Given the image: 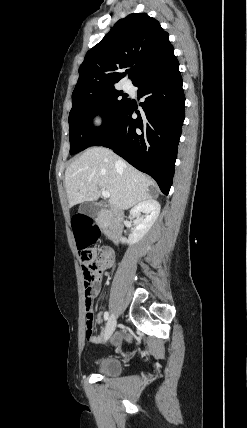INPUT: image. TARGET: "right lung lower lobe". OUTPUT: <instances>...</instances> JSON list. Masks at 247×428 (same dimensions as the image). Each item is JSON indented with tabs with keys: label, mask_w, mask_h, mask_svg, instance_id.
<instances>
[{
	"label": "right lung lower lobe",
	"mask_w": 247,
	"mask_h": 428,
	"mask_svg": "<svg viewBox=\"0 0 247 428\" xmlns=\"http://www.w3.org/2000/svg\"><path fill=\"white\" fill-rule=\"evenodd\" d=\"M139 88L140 114L129 100L120 116L92 146L114 150L138 170L147 173L168 195L172 185L177 146L185 118V96L175 56L147 73L135 84ZM139 117L132 118L133 112Z\"/></svg>",
	"instance_id": "obj_1"
}]
</instances>
